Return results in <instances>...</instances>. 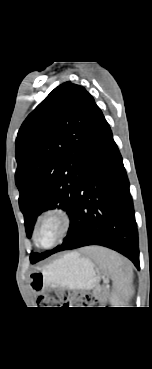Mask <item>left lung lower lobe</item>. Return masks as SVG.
Wrapping results in <instances>:
<instances>
[{
    "label": "left lung lower lobe",
    "instance_id": "0a47b994",
    "mask_svg": "<svg viewBox=\"0 0 152 369\" xmlns=\"http://www.w3.org/2000/svg\"><path fill=\"white\" fill-rule=\"evenodd\" d=\"M76 217L56 252L88 245L111 248L139 269L138 231L122 156L102 112L82 158Z\"/></svg>",
    "mask_w": 152,
    "mask_h": 369
}]
</instances>
